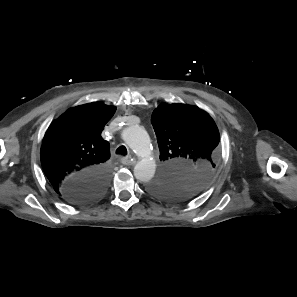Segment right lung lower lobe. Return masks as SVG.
<instances>
[{"label":"right lung lower lobe","mask_w":297,"mask_h":297,"mask_svg":"<svg viewBox=\"0 0 297 297\" xmlns=\"http://www.w3.org/2000/svg\"><path fill=\"white\" fill-rule=\"evenodd\" d=\"M110 173L97 168L75 174L59 195L73 204H83L98 198L106 189Z\"/></svg>","instance_id":"obj_1"}]
</instances>
